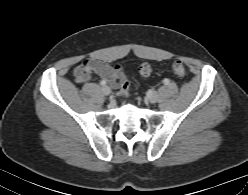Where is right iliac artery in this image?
<instances>
[{"instance_id":"obj_1","label":"right iliac artery","mask_w":248,"mask_h":195,"mask_svg":"<svg viewBox=\"0 0 248 195\" xmlns=\"http://www.w3.org/2000/svg\"><path fill=\"white\" fill-rule=\"evenodd\" d=\"M100 84H101L102 86H105V85H106V82H105V81H101Z\"/></svg>"}]
</instances>
